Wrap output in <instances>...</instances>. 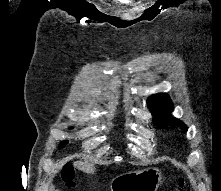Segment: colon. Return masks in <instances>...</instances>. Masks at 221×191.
Masks as SVG:
<instances>
[{"instance_id":"colon-1","label":"colon","mask_w":221,"mask_h":191,"mask_svg":"<svg viewBox=\"0 0 221 191\" xmlns=\"http://www.w3.org/2000/svg\"><path fill=\"white\" fill-rule=\"evenodd\" d=\"M61 178L68 188L75 186V171L71 164H66L61 172Z\"/></svg>"}]
</instances>
